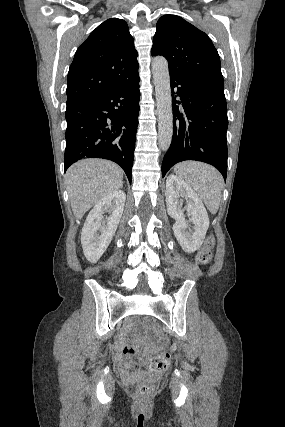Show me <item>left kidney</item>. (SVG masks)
Returning a JSON list of instances; mask_svg holds the SVG:
<instances>
[{
  "label": "left kidney",
  "mask_w": 285,
  "mask_h": 427,
  "mask_svg": "<svg viewBox=\"0 0 285 427\" xmlns=\"http://www.w3.org/2000/svg\"><path fill=\"white\" fill-rule=\"evenodd\" d=\"M165 195L167 212L176 220L173 231L177 241L185 252H195L202 245L209 227V217L201 199L184 180L174 174L167 177ZM183 198L187 205L182 209ZM184 210L191 215L193 230L187 231L188 222L184 217Z\"/></svg>",
  "instance_id": "left-kidney-1"
}]
</instances>
